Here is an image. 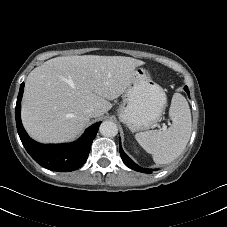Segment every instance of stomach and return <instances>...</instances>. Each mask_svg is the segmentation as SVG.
Segmentation results:
<instances>
[{
    "label": "stomach",
    "instance_id": "obj_1",
    "mask_svg": "<svg viewBox=\"0 0 227 227\" xmlns=\"http://www.w3.org/2000/svg\"><path fill=\"white\" fill-rule=\"evenodd\" d=\"M167 97L153 82L147 69L136 67L118 108L121 122L132 131H143L156 124L166 107Z\"/></svg>",
    "mask_w": 227,
    "mask_h": 227
}]
</instances>
